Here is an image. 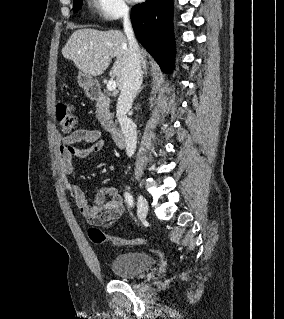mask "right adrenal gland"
Listing matches in <instances>:
<instances>
[{"instance_id":"obj_1","label":"right adrenal gland","mask_w":284,"mask_h":319,"mask_svg":"<svg viewBox=\"0 0 284 319\" xmlns=\"http://www.w3.org/2000/svg\"><path fill=\"white\" fill-rule=\"evenodd\" d=\"M144 88V86L140 87L138 90V93L141 92V90Z\"/></svg>"}]
</instances>
